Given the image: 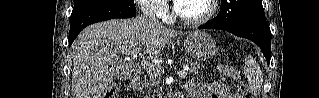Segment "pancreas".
<instances>
[{"label":"pancreas","instance_id":"obj_1","mask_svg":"<svg viewBox=\"0 0 319 98\" xmlns=\"http://www.w3.org/2000/svg\"><path fill=\"white\" fill-rule=\"evenodd\" d=\"M186 64L190 66V72L191 73H197L198 69L200 68V65L197 61L194 60H185ZM160 72L158 74H150L146 73L143 76L141 84L137 87V90L141 92V94L144 96V98H149L150 94L152 92L156 93L158 90V82L157 78L160 76L163 72V68L159 66Z\"/></svg>","mask_w":319,"mask_h":98}]
</instances>
